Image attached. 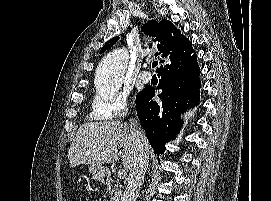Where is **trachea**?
<instances>
[{"label": "trachea", "mask_w": 271, "mask_h": 201, "mask_svg": "<svg viewBox=\"0 0 271 201\" xmlns=\"http://www.w3.org/2000/svg\"><path fill=\"white\" fill-rule=\"evenodd\" d=\"M157 65H158V62H157V61H154V62L152 63V68H155Z\"/></svg>", "instance_id": "1"}]
</instances>
